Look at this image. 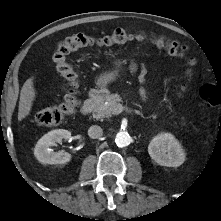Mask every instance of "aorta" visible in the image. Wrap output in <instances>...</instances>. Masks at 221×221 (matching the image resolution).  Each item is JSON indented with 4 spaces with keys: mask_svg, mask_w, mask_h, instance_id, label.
<instances>
[{
    "mask_svg": "<svg viewBox=\"0 0 221 221\" xmlns=\"http://www.w3.org/2000/svg\"><path fill=\"white\" fill-rule=\"evenodd\" d=\"M115 142L119 147H125L130 143V136L127 132H118Z\"/></svg>",
    "mask_w": 221,
    "mask_h": 221,
    "instance_id": "obj_1",
    "label": "aorta"
}]
</instances>
